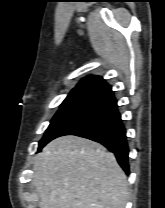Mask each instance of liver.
Returning <instances> with one entry per match:
<instances>
[{
  "label": "liver",
  "instance_id": "6515ba94",
  "mask_svg": "<svg viewBox=\"0 0 165 208\" xmlns=\"http://www.w3.org/2000/svg\"><path fill=\"white\" fill-rule=\"evenodd\" d=\"M40 208H125L127 177L113 153L77 136L48 143L33 165Z\"/></svg>",
  "mask_w": 165,
  "mask_h": 208
}]
</instances>
